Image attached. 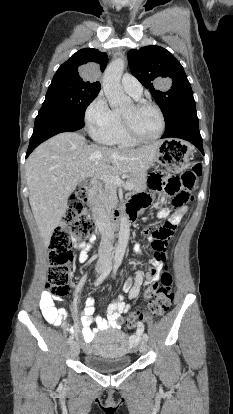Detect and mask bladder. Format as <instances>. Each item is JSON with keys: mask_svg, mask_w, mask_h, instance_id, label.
Masks as SVG:
<instances>
[{"mask_svg": "<svg viewBox=\"0 0 233 414\" xmlns=\"http://www.w3.org/2000/svg\"><path fill=\"white\" fill-rule=\"evenodd\" d=\"M91 370L108 373L125 369L131 364L127 335L119 329H108L95 339L92 351L84 357Z\"/></svg>", "mask_w": 233, "mask_h": 414, "instance_id": "obj_1", "label": "bladder"}]
</instances>
